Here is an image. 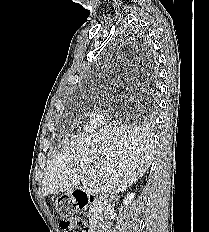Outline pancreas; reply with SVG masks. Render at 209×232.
Listing matches in <instances>:
<instances>
[{
	"mask_svg": "<svg viewBox=\"0 0 209 232\" xmlns=\"http://www.w3.org/2000/svg\"><path fill=\"white\" fill-rule=\"evenodd\" d=\"M95 213H96V209H95V208H91V209H90V213H89V215H88L90 221H92V220L95 219V217H96V214H95Z\"/></svg>",
	"mask_w": 209,
	"mask_h": 232,
	"instance_id": "cf45deb5",
	"label": "pancreas"
}]
</instances>
